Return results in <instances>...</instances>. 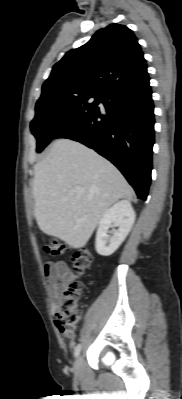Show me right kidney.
I'll return each mask as SVG.
<instances>
[{"mask_svg":"<svg viewBox=\"0 0 182 399\" xmlns=\"http://www.w3.org/2000/svg\"><path fill=\"white\" fill-rule=\"evenodd\" d=\"M135 221V212L128 200H121L102 216L96 233L95 248L99 255L110 256L127 237ZM118 227L108 235L110 227Z\"/></svg>","mask_w":182,"mask_h":399,"instance_id":"1","label":"right kidney"}]
</instances>
